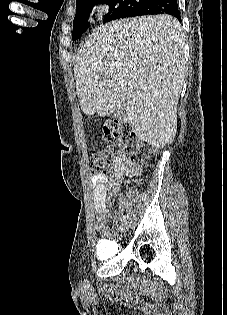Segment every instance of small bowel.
Wrapping results in <instances>:
<instances>
[{
  "label": "small bowel",
  "instance_id": "obj_1",
  "mask_svg": "<svg viewBox=\"0 0 227 315\" xmlns=\"http://www.w3.org/2000/svg\"><path fill=\"white\" fill-rule=\"evenodd\" d=\"M142 171L141 166L136 164L132 158L124 153H118L112 160V175H92L90 177L93 192V208L97 216L99 230L105 221L111 218L107 201L110 196L119 193V187L125 176H136ZM125 197L122 196L119 202L118 214L121 213Z\"/></svg>",
  "mask_w": 227,
  "mask_h": 315
}]
</instances>
